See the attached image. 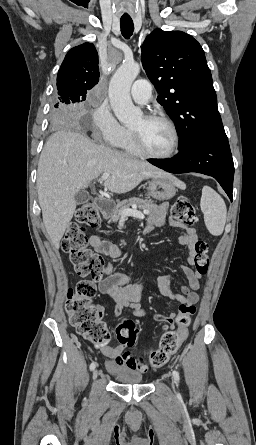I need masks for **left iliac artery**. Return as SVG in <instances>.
<instances>
[{
	"mask_svg": "<svg viewBox=\"0 0 256 445\" xmlns=\"http://www.w3.org/2000/svg\"><path fill=\"white\" fill-rule=\"evenodd\" d=\"M173 376H174L175 380H176L177 383H178V382H179V373H178V371L174 370V371H173Z\"/></svg>",
	"mask_w": 256,
	"mask_h": 445,
	"instance_id": "obj_1",
	"label": "left iliac artery"
}]
</instances>
